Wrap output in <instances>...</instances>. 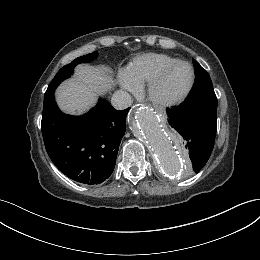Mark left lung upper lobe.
I'll use <instances>...</instances> for the list:
<instances>
[{
  "label": "left lung upper lobe",
  "mask_w": 260,
  "mask_h": 260,
  "mask_svg": "<svg viewBox=\"0 0 260 260\" xmlns=\"http://www.w3.org/2000/svg\"><path fill=\"white\" fill-rule=\"evenodd\" d=\"M196 70V85L188 101H194L202 97L216 98L212 81L209 74L203 69L200 64L194 60Z\"/></svg>",
  "instance_id": "5c2ea615"
}]
</instances>
